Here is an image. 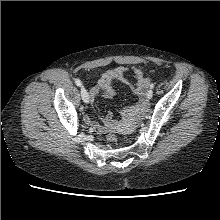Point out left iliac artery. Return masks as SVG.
Masks as SVG:
<instances>
[{"label":"left iliac artery","instance_id":"44dca946","mask_svg":"<svg viewBox=\"0 0 220 220\" xmlns=\"http://www.w3.org/2000/svg\"><path fill=\"white\" fill-rule=\"evenodd\" d=\"M150 88H154V84L153 83L150 85Z\"/></svg>","mask_w":220,"mask_h":220}]
</instances>
